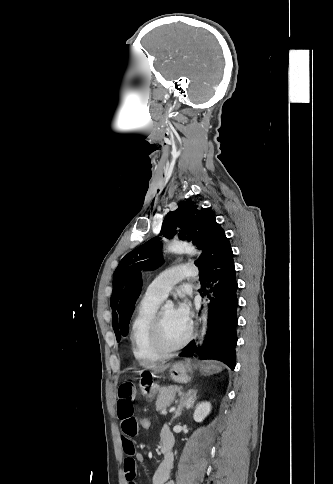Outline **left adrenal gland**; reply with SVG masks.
<instances>
[{
  "instance_id": "obj_1",
  "label": "left adrenal gland",
  "mask_w": 333,
  "mask_h": 484,
  "mask_svg": "<svg viewBox=\"0 0 333 484\" xmlns=\"http://www.w3.org/2000/svg\"><path fill=\"white\" fill-rule=\"evenodd\" d=\"M197 399V390L190 389L186 393H184L180 399V403L178 408L175 411V415L171 419L173 422L177 417L181 415L183 408L190 409L193 407L195 401Z\"/></svg>"
}]
</instances>
